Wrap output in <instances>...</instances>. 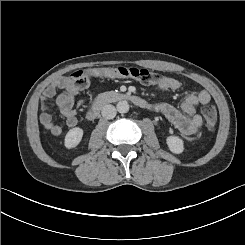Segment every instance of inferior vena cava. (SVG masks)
I'll return each mask as SVG.
<instances>
[{
  "label": "inferior vena cava",
  "mask_w": 245,
  "mask_h": 245,
  "mask_svg": "<svg viewBox=\"0 0 245 245\" xmlns=\"http://www.w3.org/2000/svg\"><path fill=\"white\" fill-rule=\"evenodd\" d=\"M101 114L106 119H113L116 116V108L111 104H107L102 108Z\"/></svg>",
  "instance_id": "inferior-vena-cava-1"
}]
</instances>
